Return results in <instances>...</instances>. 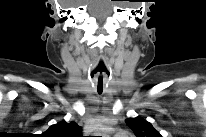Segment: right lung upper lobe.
I'll return each instance as SVG.
<instances>
[{"label": "right lung upper lobe", "instance_id": "right-lung-upper-lobe-1", "mask_svg": "<svg viewBox=\"0 0 206 137\" xmlns=\"http://www.w3.org/2000/svg\"><path fill=\"white\" fill-rule=\"evenodd\" d=\"M81 127H79L75 122L66 121L59 122L49 127V129L44 132L47 137H76L80 135Z\"/></svg>", "mask_w": 206, "mask_h": 137}]
</instances>
